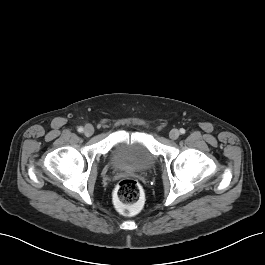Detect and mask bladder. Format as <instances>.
I'll return each mask as SVG.
<instances>
[{
	"label": "bladder",
	"instance_id": "31cf9c89",
	"mask_svg": "<svg viewBox=\"0 0 265 265\" xmlns=\"http://www.w3.org/2000/svg\"><path fill=\"white\" fill-rule=\"evenodd\" d=\"M111 161L117 168L146 170L155 162V155L144 140L122 142L114 147Z\"/></svg>",
	"mask_w": 265,
	"mask_h": 265
}]
</instances>
